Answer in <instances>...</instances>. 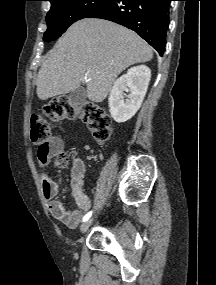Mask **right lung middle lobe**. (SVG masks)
I'll return each mask as SVG.
<instances>
[{"label": "right lung middle lobe", "instance_id": "dd1d6c3e", "mask_svg": "<svg viewBox=\"0 0 216 285\" xmlns=\"http://www.w3.org/2000/svg\"><path fill=\"white\" fill-rule=\"evenodd\" d=\"M51 9L47 13L48 26L44 34L45 42L59 38L74 22L86 18L91 12L111 0H49Z\"/></svg>", "mask_w": 216, "mask_h": 285}]
</instances>
